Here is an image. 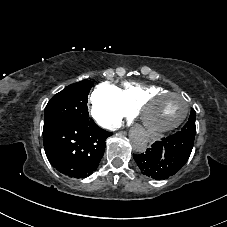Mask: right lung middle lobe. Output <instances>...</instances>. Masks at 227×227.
I'll return each mask as SVG.
<instances>
[{
  "instance_id": "1",
  "label": "right lung middle lobe",
  "mask_w": 227,
  "mask_h": 227,
  "mask_svg": "<svg viewBox=\"0 0 227 227\" xmlns=\"http://www.w3.org/2000/svg\"><path fill=\"white\" fill-rule=\"evenodd\" d=\"M92 86L93 82L83 80L54 95L45 107L43 133L69 121L90 119L87 101Z\"/></svg>"
}]
</instances>
